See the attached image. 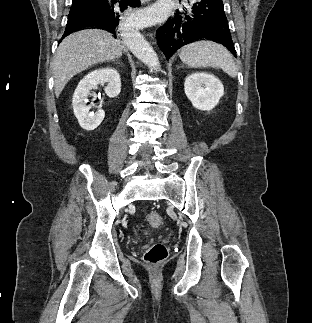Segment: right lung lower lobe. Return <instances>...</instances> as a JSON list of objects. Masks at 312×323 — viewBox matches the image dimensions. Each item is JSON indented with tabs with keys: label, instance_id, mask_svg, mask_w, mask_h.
I'll return each instance as SVG.
<instances>
[{
	"label": "right lung lower lobe",
	"instance_id": "right-lung-lower-lobe-1",
	"mask_svg": "<svg viewBox=\"0 0 312 323\" xmlns=\"http://www.w3.org/2000/svg\"><path fill=\"white\" fill-rule=\"evenodd\" d=\"M139 5L140 0H81L71 7L62 39L86 27L106 30L116 38L126 25L124 11Z\"/></svg>",
	"mask_w": 312,
	"mask_h": 323
}]
</instances>
